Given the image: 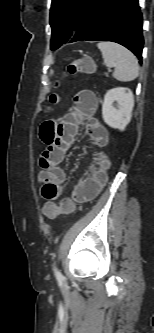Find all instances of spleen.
I'll list each match as a JSON object with an SVG mask.
<instances>
[{
    "instance_id": "obj_1",
    "label": "spleen",
    "mask_w": 154,
    "mask_h": 333,
    "mask_svg": "<svg viewBox=\"0 0 154 333\" xmlns=\"http://www.w3.org/2000/svg\"><path fill=\"white\" fill-rule=\"evenodd\" d=\"M97 47L102 53L105 65L115 68V79L128 82L138 77V60L131 51L113 42H99Z\"/></svg>"
}]
</instances>
